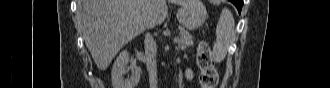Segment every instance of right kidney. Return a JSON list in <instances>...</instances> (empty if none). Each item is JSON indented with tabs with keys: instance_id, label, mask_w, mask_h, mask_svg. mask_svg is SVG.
<instances>
[{
	"instance_id": "ca27d5eb",
	"label": "right kidney",
	"mask_w": 330,
	"mask_h": 88,
	"mask_svg": "<svg viewBox=\"0 0 330 88\" xmlns=\"http://www.w3.org/2000/svg\"><path fill=\"white\" fill-rule=\"evenodd\" d=\"M129 62V53L122 51L116 58L111 72L113 88H134L140 81L141 68L135 66L130 80H124L123 75L127 73L126 67Z\"/></svg>"
}]
</instances>
